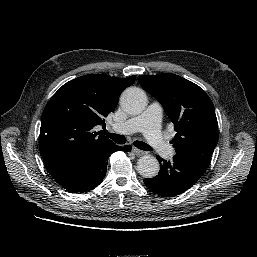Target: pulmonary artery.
I'll return each mask as SVG.
<instances>
[{
  "instance_id": "1",
  "label": "pulmonary artery",
  "mask_w": 257,
  "mask_h": 257,
  "mask_svg": "<svg viewBox=\"0 0 257 257\" xmlns=\"http://www.w3.org/2000/svg\"><path fill=\"white\" fill-rule=\"evenodd\" d=\"M162 107L159 103L153 102L140 115L125 122H114L113 129L123 134L142 132L148 143L155 152L163 157L170 158L174 154L173 148L166 142L160 129Z\"/></svg>"
}]
</instances>
